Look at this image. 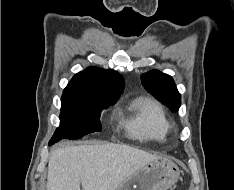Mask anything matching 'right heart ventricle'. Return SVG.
I'll use <instances>...</instances> for the list:
<instances>
[{
  "instance_id": "e07e8e85",
  "label": "right heart ventricle",
  "mask_w": 234,
  "mask_h": 190,
  "mask_svg": "<svg viewBox=\"0 0 234 190\" xmlns=\"http://www.w3.org/2000/svg\"><path fill=\"white\" fill-rule=\"evenodd\" d=\"M122 123L136 139L163 142L172 130L162 107L147 97L135 99L127 108Z\"/></svg>"
}]
</instances>
